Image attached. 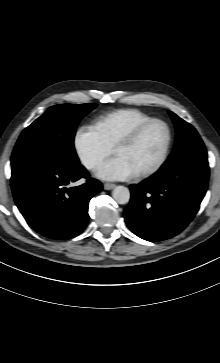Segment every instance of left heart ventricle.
I'll list each match as a JSON object with an SVG mask.
<instances>
[{"label":"left heart ventricle","instance_id":"obj_1","mask_svg":"<svg viewBox=\"0 0 220 363\" xmlns=\"http://www.w3.org/2000/svg\"><path fill=\"white\" fill-rule=\"evenodd\" d=\"M167 134L160 124L146 128L132 144L120 147L115 155L123 157L135 173L152 167L160 158Z\"/></svg>","mask_w":220,"mask_h":363}]
</instances>
